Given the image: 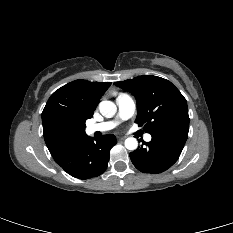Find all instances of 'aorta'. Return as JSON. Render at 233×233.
I'll return each instance as SVG.
<instances>
[{"mask_svg": "<svg viewBox=\"0 0 233 233\" xmlns=\"http://www.w3.org/2000/svg\"><path fill=\"white\" fill-rule=\"evenodd\" d=\"M99 110L104 117L111 118L117 112V107L111 101H102L99 104ZM125 147L128 150H136L138 147V141L133 137H129L125 140Z\"/></svg>", "mask_w": 233, "mask_h": 233, "instance_id": "obj_1", "label": "aorta"}]
</instances>
